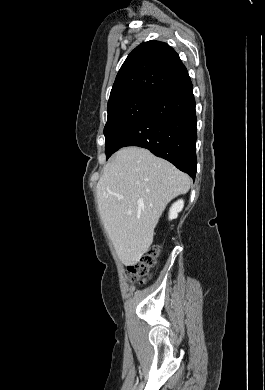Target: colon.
Here are the masks:
<instances>
[{
  "label": "colon",
  "instance_id": "5ec220e1",
  "mask_svg": "<svg viewBox=\"0 0 265 390\" xmlns=\"http://www.w3.org/2000/svg\"><path fill=\"white\" fill-rule=\"evenodd\" d=\"M159 250L152 247L134 264L128 267V276L140 283L145 282L152 275V270L156 265Z\"/></svg>",
  "mask_w": 265,
  "mask_h": 390
}]
</instances>
